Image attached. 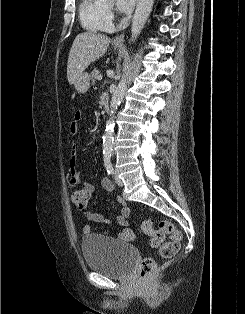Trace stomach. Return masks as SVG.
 <instances>
[{
  "instance_id": "1",
  "label": "stomach",
  "mask_w": 245,
  "mask_h": 314,
  "mask_svg": "<svg viewBox=\"0 0 245 314\" xmlns=\"http://www.w3.org/2000/svg\"><path fill=\"white\" fill-rule=\"evenodd\" d=\"M120 47V45H115ZM90 75L87 72H82L74 82V87L78 93L84 94L88 91L90 86Z\"/></svg>"
}]
</instances>
